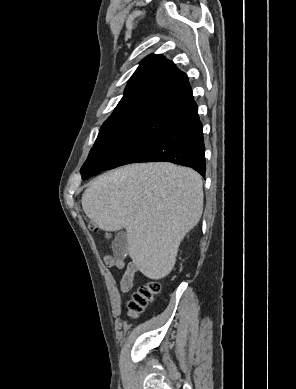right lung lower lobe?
<instances>
[{"instance_id":"right-lung-lower-lobe-1","label":"right lung lower lobe","mask_w":296,"mask_h":389,"mask_svg":"<svg viewBox=\"0 0 296 389\" xmlns=\"http://www.w3.org/2000/svg\"><path fill=\"white\" fill-rule=\"evenodd\" d=\"M172 162L191 167L205 175V146L203 125L198 109L179 118L150 148L147 157L141 162ZM97 170L82 168L83 179L98 174Z\"/></svg>"}]
</instances>
